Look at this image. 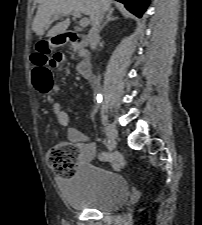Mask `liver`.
<instances>
[{
    "mask_svg": "<svg viewBox=\"0 0 202 225\" xmlns=\"http://www.w3.org/2000/svg\"><path fill=\"white\" fill-rule=\"evenodd\" d=\"M99 7L104 12L112 10L111 0H43L40 4L33 21L32 29L36 35L41 36L52 16L69 15L72 12H79L90 16L93 23ZM70 25V20L66 19L53 26L48 32V36L66 32Z\"/></svg>",
    "mask_w": 202,
    "mask_h": 225,
    "instance_id": "liver-1",
    "label": "liver"
}]
</instances>
